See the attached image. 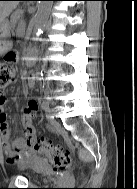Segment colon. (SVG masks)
Returning a JSON list of instances; mask_svg holds the SVG:
<instances>
[{
	"label": "colon",
	"instance_id": "5ec220e1",
	"mask_svg": "<svg viewBox=\"0 0 137 189\" xmlns=\"http://www.w3.org/2000/svg\"><path fill=\"white\" fill-rule=\"evenodd\" d=\"M14 58V53L9 52L6 54L5 61L0 62V93L2 92V89L14 79L15 70L12 66ZM37 107V102L30 100L28 103V111L34 113L37 110ZM32 148L42 157L48 159L59 170H65L71 164L70 153L53 145L49 141L37 139L33 142Z\"/></svg>",
	"mask_w": 137,
	"mask_h": 189
}]
</instances>
